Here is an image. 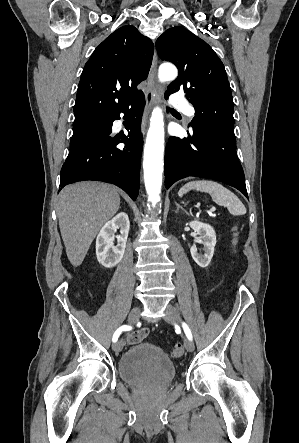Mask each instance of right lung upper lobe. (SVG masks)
Here are the masks:
<instances>
[{
  "label": "right lung upper lobe",
  "instance_id": "cb5924a9",
  "mask_svg": "<svg viewBox=\"0 0 299 443\" xmlns=\"http://www.w3.org/2000/svg\"><path fill=\"white\" fill-rule=\"evenodd\" d=\"M153 52L152 41L130 25L98 45L81 75L75 123L131 105L143 94L136 86L148 76Z\"/></svg>",
  "mask_w": 299,
  "mask_h": 443
}]
</instances>
